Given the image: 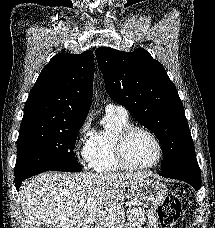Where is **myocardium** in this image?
Returning <instances> with one entry per match:
<instances>
[{
	"mask_svg": "<svg viewBox=\"0 0 215 228\" xmlns=\"http://www.w3.org/2000/svg\"><path fill=\"white\" fill-rule=\"evenodd\" d=\"M135 131L145 132L146 134L149 135V137L154 142V144L156 146V150H157V156L154 161H152L148 164H145V165H141V166H135L129 162L127 155H126V143L129 139V137ZM114 150H115L116 159H117L118 163L120 164V166L123 169L130 170V171H140V170H146V169L153 168L154 166H156L160 163L162 156H163V148H162V144H161L159 138L151 129H149L148 127L143 126V125L131 124V125L127 126L126 128H124L117 135V137L115 139Z\"/></svg>",
	"mask_w": 215,
	"mask_h": 228,
	"instance_id": "f54148a6",
	"label": "myocardium"
}]
</instances>
